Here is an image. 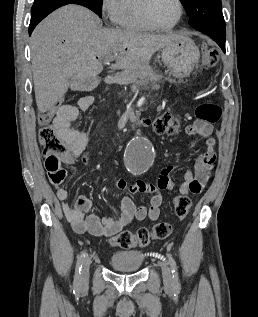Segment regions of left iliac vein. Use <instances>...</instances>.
Masks as SVG:
<instances>
[{
  "instance_id": "left-iliac-vein-1",
  "label": "left iliac vein",
  "mask_w": 258,
  "mask_h": 317,
  "mask_svg": "<svg viewBox=\"0 0 258 317\" xmlns=\"http://www.w3.org/2000/svg\"><path fill=\"white\" fill-rule=\"evenodd\" d=\"M162 275L166 279L170 277L171 272L169 271V267L167 265L164 267V271L162 272Z\"/></svg>"
}]
</instances>
